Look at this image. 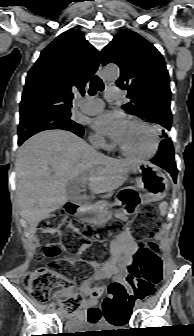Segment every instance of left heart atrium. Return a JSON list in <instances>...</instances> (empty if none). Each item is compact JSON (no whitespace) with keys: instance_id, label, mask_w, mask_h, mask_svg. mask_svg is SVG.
Here are the masks:
<instances>
[{"instance_id":"39dd6f15","label":"left heart atrium","mask_w":194,"mask_h":336,"mask_svg":"<svg viewBox=\"0 0 194 336\" xmlns=\"http://www.w3.org/2000/svg\"><path fill=\"white\" fill-rule=\"evenodd\" d=\"M126 122L118 112H105L96 117L93 127L99 133L118 141L125 128Z\"/></svg>"}]
</instances>
